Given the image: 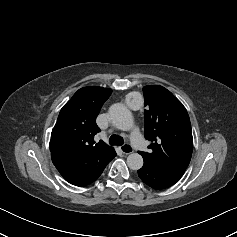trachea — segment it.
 <instances>
[{"label": "trachea", "mask_w": 237, "mask_h": 237, "mask_svg": "<svg viewBox=\"0 0 237 237\" xmlns=\"http://www.w3.org/2000/svg\"><path fill=\"white\" fill-rule=\"evenodd\" d=\"M109 143L111 145H118V146H121L124 144V140L122 137L118 136V135H112L110 138H109Z\"/></svg>", "instance_id": "1"}]
</instances>
